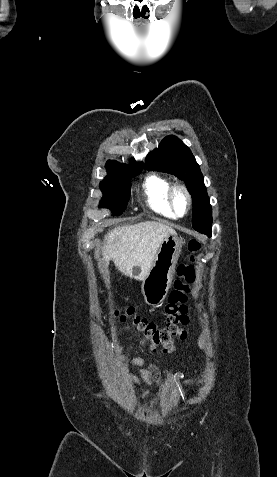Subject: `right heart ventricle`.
Here are the masks:
<instances>
[{"label":"right heart ventricle","mask_w":277,"mask_h":477,"mask_svg":"<svg viewBox=\"0 0 277 477\" xmlns=\"http://www.w3.org/2000/svg\"><path fill=\"white\" fill-rule=\"evenodd\" d=\"M170 182L159 174L147 176L143 184L147 205L154 212L167 217L177 218L168 203V190Z\"/></svg>","instance_id":"1"}]
</instances>
